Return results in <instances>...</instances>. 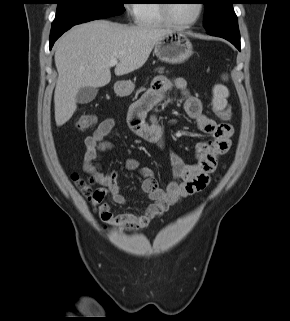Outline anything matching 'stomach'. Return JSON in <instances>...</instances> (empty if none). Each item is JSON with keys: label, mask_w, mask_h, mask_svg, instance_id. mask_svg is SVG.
I'll return each mask as SVG.
<instances>
[{"label": "stomach", "mask_w": 290, "mask_h": 321, "mask_svg": "<svg viewBox=\"0 0 290 321\" xmlns=\"http://www.w3.org/2000/svg\"><path fill=\"white\" fill-rule=\"evenodd\" d=\"M156 57L166 63H183L193 54V47L187 36L181 32L171 31L156 43L154 48ZM132 81H118L114 91L118 96H128L134 90Z\"/></svg>", "instance_id": "1"}]
</instances>
